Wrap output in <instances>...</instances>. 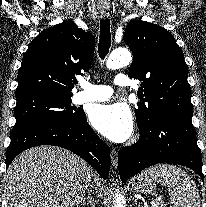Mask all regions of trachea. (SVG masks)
Returning a JSON list of instances; mask_svg holds the SVG:
<instances>
[{"instance_id":"trachea-1","label":"trachea","mask_w":206,"mask_h":207,"mask_svg":"<svg viewBox=\"0 0 206 207\" xmlns=\"http://www.w3.org/2000/svg\"><path fill=\"white\" fill-rule=\"evenodd\" d=\"M111 45L110 21L108 18L102 19L100 24V39L98 53L101 59L108 54Z\"/></svg>"}]
</instances>
